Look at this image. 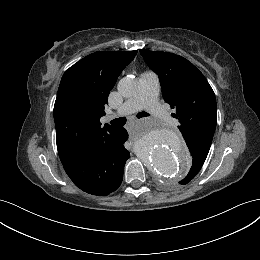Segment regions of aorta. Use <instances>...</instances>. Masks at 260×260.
I'll list each match as a JSON object with an SVG mask.
<instances>
[{
    "label": "aorta",
    "mask_w": 260,
    "mask_h": 260,
    "mask_svg": "<svg viewBox=\"0 0 260 260\" xmlns=\"http://www.w3.org/2000/svg\"><path fill=\"white\" fill-rule=\"evenodd\" d=\"M138 89L134 78L125 77L118 83V91L124 97L133 96ZM135 136L145 137V142L138 145L146 164L155 175L167 179H176L186 174L189 158L179 136L161 123L144 120L135 131ZM142 146V147H140Z\"/></svg>",
    "instance_id": "aorta-1"
}]
</instances>
